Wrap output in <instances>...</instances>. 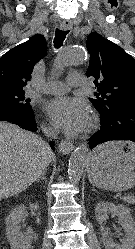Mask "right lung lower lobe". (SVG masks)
Wrapping results in <instances>:
<instances>
[{
  "label": "right lung lower lobe",
  "mask_w": 135,
  "mask_h": 249,
  "mask_svg": "<svg viewBox=\"0 0 135 249\" xmlns=\"http://www.w3.org/2000/svg\"><path fill=\"white\" fill-rule=\"evenodd\" d=\"M0 121H9L33 132L37 130L33 111L11 103L0 102ZM50 146L54 150L53 142H50Z\"/></svg>",
  "instance_id": "1"
}]
</instances>
